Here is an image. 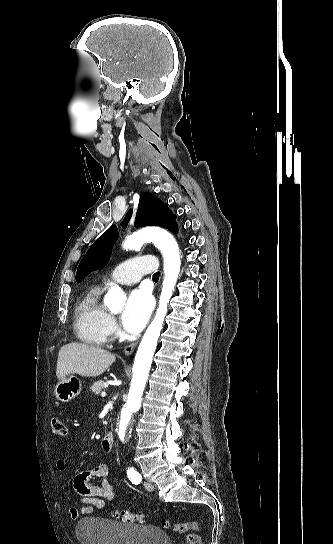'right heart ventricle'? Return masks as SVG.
I'll use <instances>...</instances> for the list:
<instances>
[{
	"label": "right heart ventricle",
	"mask_w": 333,
	"mask_h": 544,
	"mask_svg": "<svg viewBox=\"0 0 333 544\" xmlns=\"http://www.w3.org/2000/svg\"><path fill=\"white\" fill-rule=\"evenodd\" d=\"M101 289L89 290L76 307L75 329L78 337L89 344L103 345L108 340L110 315L100 302Z\"/></svg>",
	"instance_id": "1"
}]
</instances>
